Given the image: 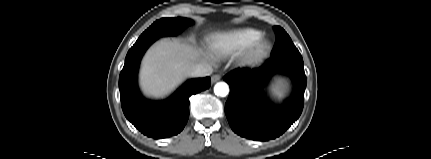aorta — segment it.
<instances>
[{
    "instance_id": "obj_1",
    "label": "aorta",
    "mask_w": 431,
    "mask_h": 159,
    "mask_svg": "<svg viewBox=\"0 0 431 159\" xmlns=\"http://www.w3.org/2000/svg\"><path fill=\"white\" fill-rule=\"evenodd\" d=\"M214 93L217 96L225 97L229 93V86L225 82H218L214 86Z\"/></svg>"
}]
</instances>
